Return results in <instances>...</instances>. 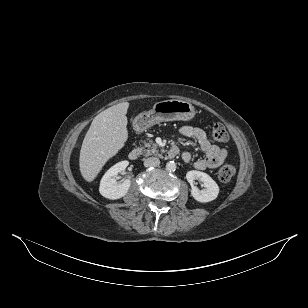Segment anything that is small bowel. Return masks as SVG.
Returning a JSON list of instances; mask_svg holds the SVG:
<instances>
[{
	"label": "small bowel",
	"mask_w": 308,
	"mask_h": 308,
	"mask_svg": "<svg viewBox=\"0 0 308 308\" xmlns=\"http://www.w3.org/2000/svg\"><path fill=\"white\" fill-rule=\"evenodd\" d=\"M180 133L184 137L193 138L196 140L201 150L205 153L204 157L199 158L194 162V167L196 169H214L225 161L227 157V150L212 144L208 140L206 132L203 129L185 125L180 128ZM182 159L184 162H190L192 160L191 153L184 152L182 154Z\"/></svg>",
	"instance_id": "1"
}]
</instances>
